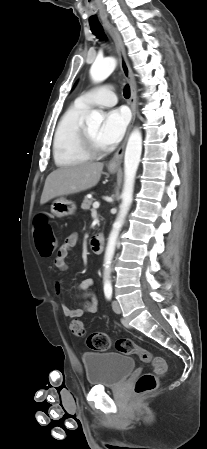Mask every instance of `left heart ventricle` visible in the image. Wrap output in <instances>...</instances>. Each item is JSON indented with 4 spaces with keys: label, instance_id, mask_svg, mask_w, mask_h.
Masks as SVG:
<instances>
[{
    "label": "left heart ventricle",
    "instance_id": "1",
    "mask_svg": "<svg viewBox=\"0 0 207 449\" xmlns=\"http://www.w3.org/2000/svg\"><path fill=\"white\" fill-rule=\"evenodd\" d=\"M86 129L95 143H97L100 146H104L99 139V131H100L99 124L86 125Z\"/></svg>",
    "mask_w": 207,
    "mask_h": 449
}]
</instances>
